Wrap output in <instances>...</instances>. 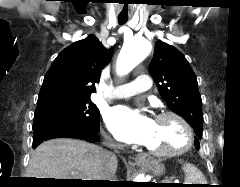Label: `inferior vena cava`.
I'll return each mask as SVG.
<instances>
[{"instance_id": "obj_1", "label": "inferior vena cava", "mask_w": 240, "mask_h": 187, "mask_svg": "<svg viewBox=\"0 0 240 187\" xmlns=\"http://www.w3.org/2000/svg\"><path fill=\"white\" fill-rule=\"evenodd\" d=\"M103 144H104V146H106L108 148H117L118 147V145L110 137H107V136L105 137V142ZM114 160H116V156L112 152H110L108 150L103 151L102 161L106 166H108L109 163L113 162Z\"/></svg>"}]
</instances>
